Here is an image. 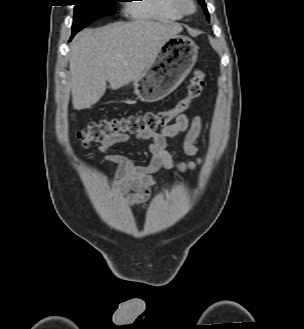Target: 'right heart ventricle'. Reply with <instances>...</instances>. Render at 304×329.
Returning <instances> with one entry per match:
<instances>
[{"instance_id":"e07e8e85","label":"right heart ventricle","mask_w":304,"mask_h":329,"mask_svg":"<svg viewBox=\"0 0 304 329\" xmlns=\"http://www.w3.org/2000/svg\"><path fill=\"white\" fill-rule=\"evenodd\" d=\"M139 4L128 5L130 13L141 19H154L162 21H179L183 15L176 9L173 0H134Z\"/></svg>"}]
</instances>
